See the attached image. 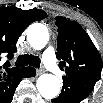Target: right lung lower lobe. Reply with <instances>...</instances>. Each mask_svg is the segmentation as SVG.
<instances>
[{"label":"right lung lower lobe","mask_w":103,"mask_h":103,"mask_svg":"<svg viewBox=\"0 0 103 103\" xmlns=\"http://www.w3.org/2000/svg\"><path fill=\"white\" fill-rule=\"evenodd\" d=\"M35 74V71H34ZM31 76L25 71V68H22L19 75L10 81L0 82V103H10L13 99L14 92L22 80V78Z\"/></svg>","instance_id":"obj_1"}]
</instances>
